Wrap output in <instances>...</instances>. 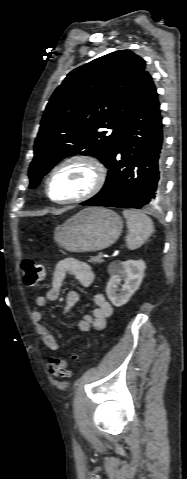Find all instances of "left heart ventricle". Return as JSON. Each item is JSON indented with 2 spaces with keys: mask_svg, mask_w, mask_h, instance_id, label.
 Masks as SVG:
<instances>
[{
  "mask_svg": "<svg viewBox=\"0 0 187 479\" xmlns=\"http://www.w3.org/2000/svg\"><path fill=\"white\" fill-rule=\"evenodd\" d=\"M91 168L80 162L71 163L58 171L49 184L53 199L66 200L84 193L92 184Z\"/></svg>",
  "mask_w": 187,
  "mask_h": 479,
  "instance_id": "b2bd125f",
  "label": "left heart ventricle"
}]
</instances>
